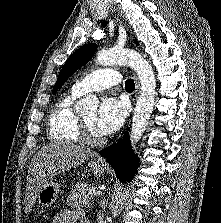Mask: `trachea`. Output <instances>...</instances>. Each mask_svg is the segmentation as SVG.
Returning a JSON list of instances; mask_svg holds the SVG:
<instances>
[{"label": "trachea", "instance_id": "trachea-1", "mask_svg": "<svg viewBox=\"0 0 221 223\" xmlns=\"http://www.w3.org/2000/svg\"><path fill=\"white\" fill-rule=\"evenodd\" d=\"M135 88V84H134V81L132 79H127L125 81V89L128 91V92H131L133 91Z\"/></svg>", "mask_w": 221, "mask_h": 223}]
</instances>
